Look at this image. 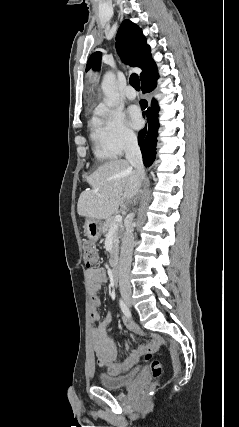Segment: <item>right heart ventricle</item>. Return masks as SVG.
<instances>
[{"instance_id": "e07e8e85", "label": "right heart ventricle", "mask_w": 239, "mask_h": 427, "mask_svg": "<svg viewBox=\"0 0 239 427\" xmlns=\"http://www.w3.org/2000/svg\"><path fill=\"white\" fill-rule=\"evenodd\" d=\"M91 140L93 142V151L97 159L108 160L116 156L106 144L97 119H94L91 124Z\"/></svg>"}]
</instances>
